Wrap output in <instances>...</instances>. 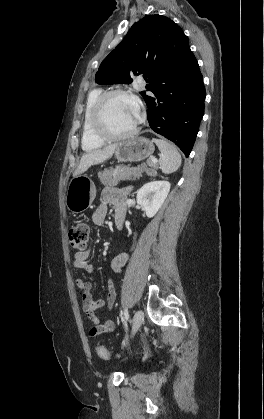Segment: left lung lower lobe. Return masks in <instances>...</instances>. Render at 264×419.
Listing matches in <instances>:
<instances>
[{"label": "left lung lower lobe", "mask_w": 264, "mask_h": 419, "mask_svg": "<svg viewBox=\"0 0 264 419\" xmlns=\"http://www.w3.org/2000/svg\"><path fill=\"white\" fill-rule=\"evenodd\" d=\"M168 69L149 90L145 102L149 126L189 156L204 114L205 88L199 65L183 33L169 43Z\"/></svg>", "instance_id": "1"}]
</instances>
